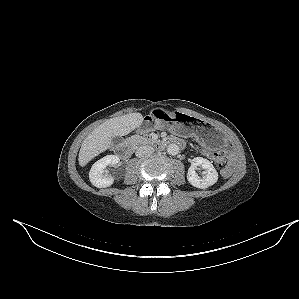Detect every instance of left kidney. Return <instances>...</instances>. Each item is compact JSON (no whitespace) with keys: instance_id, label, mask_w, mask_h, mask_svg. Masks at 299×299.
I'll list each match as a JSON object with an SVG mask.
<instances>
[{"instance_id":"5707ae66","label":"left kidney","mask_w":299,"mask_h":299,"mask_svg":"<svg viewBox=\"0 0 299 299\" xmlns=\"http://www.w3.org/2000/svg\"><path fill=\"white\" fill-rule=\"evenodd\" d=\"M197 166H202L205 169L204 176H198L196 173ZM187 179L192 186L205 189L217 182L218 173L209 160L202 157H195L192 159L191 166L188 169Z\"/></svg>"}]
</instances>
